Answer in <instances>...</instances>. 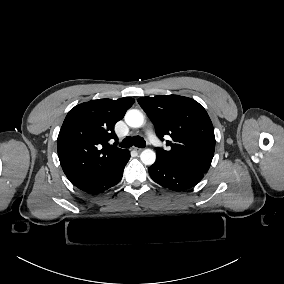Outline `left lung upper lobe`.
<instances>
[{"instance_id": "1", "label": "left lung upper lobe", "mask_w": 284, "mask_h": 284, "mask_svg": "<svg viewBox=\"0 0 284 284\" xmlns=\"http://www.w3.org/2000/svg\"><path fill=\"white\" fill-rule=\"evenodd\" d=\"M138 103L170 150L156 148L157 159L175 167L206 173L211 165L215 136L206 110L195 100L178 95L141 97Z\"/></svg>"}]
</instances>
